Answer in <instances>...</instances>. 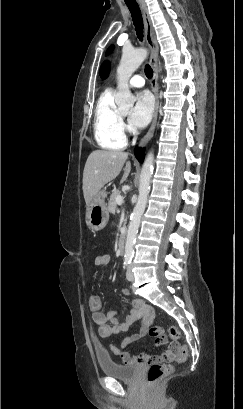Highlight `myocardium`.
Wrapping results in <instances>:
<instances>
[{"label":"myocardium","mask_w":243,"mask_h":409,"mask_svg":"<svg viewBox=\"0 0 243 409\" xmlns=\"http://www.w3.org/2000/svg\"><path fill=\"white\" fill-rule=\"evenodd\" d=\"M119 116L121 117V116H123L121 113H119Z\"/></svg>","instance_id":"obj_1"}]
</instances>
